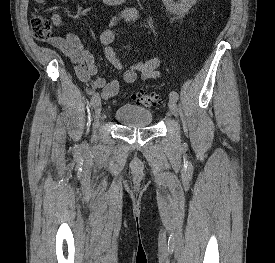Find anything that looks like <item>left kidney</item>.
<instances>
[{"label": "left kidney", "mask_w": 275, "mask_h": 263, "mask_svg": "<svg viewBox=\"0 0 275 263\" xmlns=\"http://www.w3.org/2000/svg\"><path fill=\"white\" fill-rule=\"evenodd\" d=\"M167 10L175 15L186 14L197 0H181L175 3L173 0H162Z\"/></svg>", "instance_id": "left-kidney-1"}]
</instances>
